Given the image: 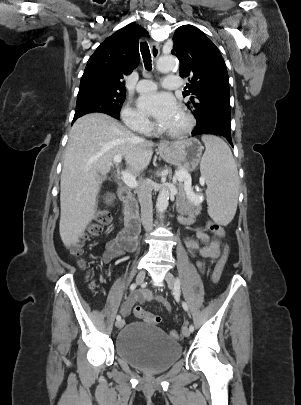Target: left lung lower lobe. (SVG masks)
I'll return each mask as SVG.
<instances>
[{
    "mask_svg": "<svg viewBox=\"0 0 301 405\" xmlns=\"http://www.w3.org/2000/svg\"><path fill=\"white\" fill-rule=\"evenodd\" d=\"M193 136L216 135L222 136L233 146L231 139V123L223 120H209L204 123H197L192 132Z\"/></svg>",
    "mask_w": 301,
    "mask_h": 405,
    "instance_id": "obj_1",
    "label": "left lung lower lobe"
}]
</instances>
